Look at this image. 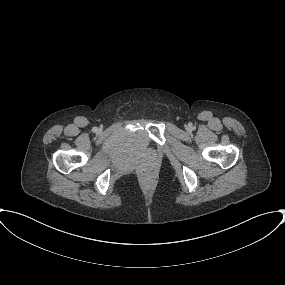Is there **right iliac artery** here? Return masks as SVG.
<instances>
[{
    "mask_svg": "<svg viewBox=\"0 0 285 285\" xmlns=\"http://www.w3.org/2000/svg\"><path fill=\"white\" fill-rule=\"evenodd\" d=\"M92 130H93V132H97L98 129H97V127H93Z\"/></svg>",
    "mask_w": 285,
    "mask_h": 285,
    "instance_id": "obj_1",
    "label": "right iliac artery"
}]
</instances>
